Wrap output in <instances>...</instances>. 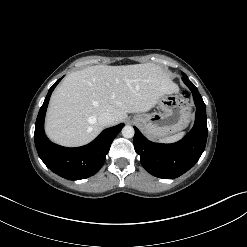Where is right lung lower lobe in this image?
<instances>
[{
    "label": "right lung lower lobe",
    "mask_w": 247,
    "mask_h": 247,
    "mask_svg": "<svg viewBox=\"0 0 247 247\" xmlns=\"http://www.w3.org/2000/svg\"><path fill=\"white\" fill-rule=\"evenodd\" d=\"M60 80L49 89L40 108L34 133L36 149L44 164L57 175L68 180L85 179L100 170L112 141L124 124L104 130L93 142L83 147L66 148L49 141L44 132V118L52 91Z\"/></svg>",
    "instance_id": "obj_1"
}]
</instances>
